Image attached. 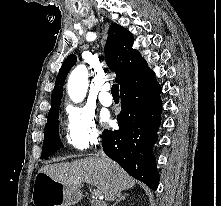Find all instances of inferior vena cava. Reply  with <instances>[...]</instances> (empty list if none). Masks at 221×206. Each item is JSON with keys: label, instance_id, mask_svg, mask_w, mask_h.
Listing matches in <instances>:
<instances>
[{"label": "inferior vena cava", "instance_id": "1", "mask_svg": "<svg viewBox=\"0 0 221 206\" xmlns=\"http://www.w3.org/2000/svg\"><path fill=\"white\" fill-rule=\"evenodd\" d=\"M96 144H98L97 141H96ZM99 153H100V160L106 163L108 161V158L105 156L104 152L101 150Z\"/></svg>", "mask_w": 221, "mask_h": 206}]
</instances>
